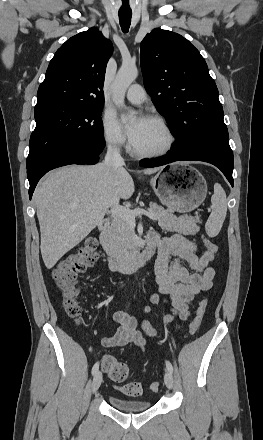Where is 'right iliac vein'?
I'll list each match as a JSON object with an SVG mask.
<instances>
[{"label":"right iliac vein","instance_id":"right-iliac-vein-1","mask_svg":"<svg viewBox=\"0 0 263 440\" xmlns=\"http://www.w3.org/2000/svg\"><path fill=\"white\" fill-rule=\"evenodd\" d=\"M102 383V373L97 371L92 381V392L95 393Z\"/></svg>","mask_w":263,"mask_h":440}]
</instances>
